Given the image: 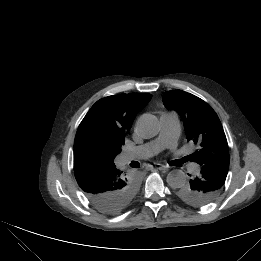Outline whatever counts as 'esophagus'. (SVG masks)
Returning a JSON list of instances; mask_svg holds the SVG:
<instances>
[{"mask_svg":"<svg viewBox=\"0 0 261 261\" xmlns=\"http://www.w3.org/2000/svg\"><path fill=\"white\" fill-rule=\"evenodd\" d=\"M166 169V166L164 165H161V164H156L154 166H151V169L150 170H165Z\"/></svg>","mask_w":261,"mask_h":261,"instance_id":"obj_1","label":"esophagus"}]
</instances>
